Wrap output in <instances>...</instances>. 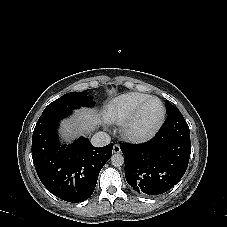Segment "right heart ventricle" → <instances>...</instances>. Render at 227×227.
<instances>
[{"instance_id": "1", "label": "right heart ventricle", "mask_w": 227, "mask_h": 227, "mask_svg": "<svg viewBox=\"0 0 227 227\" xmlns=\"http://www.w3.org/2000/svg\"><path fill=\"white\" fill-rule=\"evenodd\" d=\"M150 96L142 93H126L110 100L104 107L103 115L113 123L127 120Z\"/></svg>"}]
</instances>
